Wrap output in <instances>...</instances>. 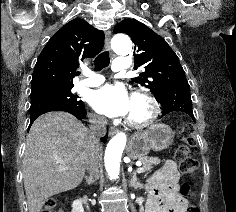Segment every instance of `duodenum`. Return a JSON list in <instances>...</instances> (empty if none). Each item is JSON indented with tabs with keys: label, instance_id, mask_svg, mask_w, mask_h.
Returning <instances> with one entry per match:
<instances>
[{
	"label": "duodenum",
	"instance_id": "410a0bca",
	"mask_svg": "<svg viewBox=\"0 0 236 212\" xmlns=\"http://www.w3.org/2000/svg\"><path fill=\"white\" fill-rule=\"evenodd\" d=\"M84 202H85V204L87 205V208H89V205H88V203H87V198H86V197H84Z\"/></svg>",
	"mask_w": 236,
	"mask_h": 212
}]
</instances>
